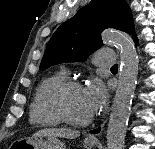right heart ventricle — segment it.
<instances>
[{"instance_id":"obj_1","label":"right heart ventricle","mask_w":155,"mask_h":149,"mask_svg":"<svg viewBox=\"0 0 155 149\" xmlns=\"http://www.w3.org/2000/svg\"><path fill=\"white\" fill-rule=\"evenodd\" d=\"M67 79L66 73L58 71L44 77L37 85L29 109V121L33 125L55 127L61 124L51 104L54 88Z\"/></svg>"}]
</instances>
